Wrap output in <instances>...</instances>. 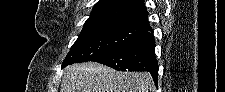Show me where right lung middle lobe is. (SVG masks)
I'll return each instance as SVG.
<instances>
[{
  "label": "right lung middle lobe",
  "mask_w": 225,
  "mask_h": 92,
  "mask_svg": "<svg viewBox=\"0 0 225 92\" xmlns=\"http://www.w3.org/2000/svg\"><path fill=\"white\" fill-rule=\"evenodd\" d=\"M144 34L142 30L120 23L84 25L64 59L62 68L73 63L91 61L100 54L127 44Z\"/></svg>",
  "instance_id": "dd1d6c3e"
}]
</instances>
